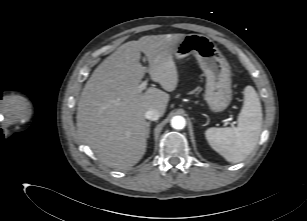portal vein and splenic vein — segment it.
Here are the masks:
<instances>
[{
    "label": "portal vein and splenic vein",
    "instance_id": "1",
    "mask_svg": "<svg viewBox=\"0 0 307 221\" xmlns=\"http://www.w3.org/2000/svg\"><path fill=\"white\" fill-rule=\"evenodd\" d=\"M147 86V81H143L138 87V93H141Z\"/></svg>",
    "mask_w": 307,
    "mask_h": 221
}]
</instances>
